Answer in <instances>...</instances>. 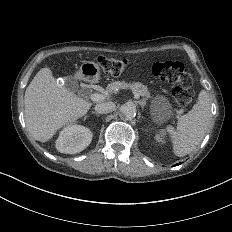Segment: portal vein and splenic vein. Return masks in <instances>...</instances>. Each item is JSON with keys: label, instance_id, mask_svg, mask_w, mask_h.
<instances>
[{"label": "portal vein and splenic vein", "instance_id": "obj_1", "mask_svg": "<svg viewBox=\"0 0 232 232\" xmlns=\"http://www.w3.org/2000/svg\"><path fill=\"white\" fill-rule=\"evenodd\" d=\"M134 97L136 99L139 98V96L137 94H135ZM90 98L94 102H99V101L104 100L105 96L103 94L94 93V94H91Z\"/></svg>", "mask_w": 232, "mask_h": 232}]
</instances>
